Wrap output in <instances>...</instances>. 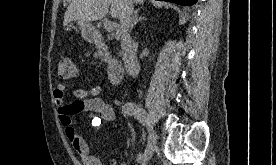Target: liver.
I'll return each mask as SVG.
<instances>
[{
    "label": "liver",
    "instance_id": "1",
    "mask_svg": "<svg viewBox=\"0 0 276 165\" xmlns=\"http://www.w3.org/2000/svg\"><path fill=\"white\" fill-rule=\"evenodd\" d=\"M143 4L144 0H134ZM124 0H72L64 15L63 26L71 21L91 22L103 19L110 6V14L113 18H120Z\"/></svg>",
    "mask_w": 276,
    "mask_h": 165
}]
</instances>
